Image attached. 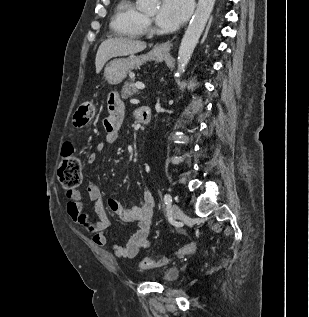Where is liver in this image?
<instances>
[{"mask_svg": "<svg viewBox=\"0 0 309 317\" xmlns=\"http://www.w3.org/2000/svg\"><path fill=\"white\" fill-rule=\"evenodd\" d=\"M145 48V42L128 38H109L103 41L96 54V73H100L109 59L118 56L132 55Z\"/></svg>", "mask_w": 309, "mask_h": 317, "instance_id": "1", "label": "liver"}]
</instances>
